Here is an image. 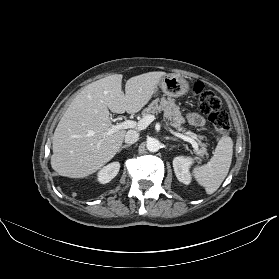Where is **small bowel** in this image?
Masks as SVG:
<instances>
[{"label":"small bowel","mask_w":279,"mask_h":279,"mask_svg":"<svg viewBox=\"0 0 279 279\" xmlns=\"http://www.w3.org/2000/svg\"><path fill=\"white\" fill-rule=\"evenodd\" d=\"M188 119L191 124L196 125V126H204L205 125V120L202 116H200L197 113H190L188 115Z\"/></svg>","instance_id":"obj_1"}]
</instances>
